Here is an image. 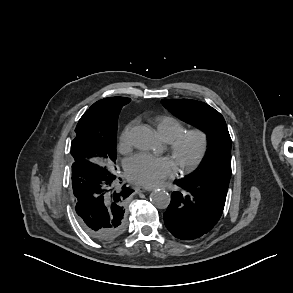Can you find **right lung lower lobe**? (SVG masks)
<instances>
[{
    "instance_id": "obj_1",
    "label": "right lung lower lobe",
    "mask_w": 293,
    "mask_h": 293,
    "mask_svg": "<svg viewBox=\"0 0 293 293\" xmlns=\"http://www.w3.org/2000/svg\"><path fill=\"white\" fill-rule=\"evenodd\" d=\"M72 188L79 223L88 235L112 241L124 232V205L133 190L120 188L114 174L88 161L73 163Z\"/></svg>"
}]
</instances>
